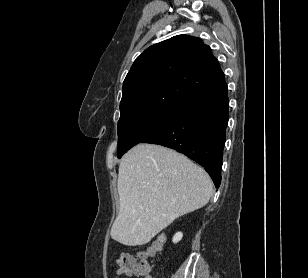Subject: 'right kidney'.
<instances>
[{"mask_svg": "<svg viewBox=\"0 0 308 278\" xmlns=\"http://www.w3.org/2000/svg\"><path fill=\"white\" fill-rule=\"evenodd\" d=\"M183 237V233L182 232H177L174 236H173V243H178Z\"/></svg>", "mask_w": 308, "mask_h": 278, "instance_id": "1", "label": "right kidney"}]
</instances>
